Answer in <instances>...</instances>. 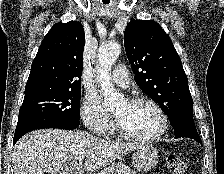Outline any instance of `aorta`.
<instances>
[{"label": "aorta", "mask_w": 224, "mask_h": 174, "mask_svg": "<svg viewBox=\"0 0 224 174\" xmlns=\"http://www.w3.org/2000/svg\"><path fill=\"white\" fill-rule=\"evenodd\" d=\"M120 53L121 46L116 42L102 44L98 49L99 67L96 80L101 86L103 104L107 109H113L124 101V95L114 88L110 78L111 67Z\"/></svg>", "instance_id": "aorta-1"}]
</instances>
